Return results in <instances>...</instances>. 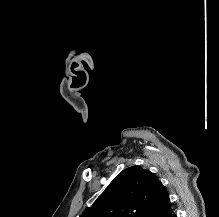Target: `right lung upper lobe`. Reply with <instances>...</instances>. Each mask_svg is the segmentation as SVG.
Masks as SVG:
<instances>
[{
	"label": "right lung upper lobe",
	"mask_w": 219,
	"mask_h": 217,
	"mask_svg": "<svg viewBox=\"0 0 219 217\" xmlns=\"http://www.w3.org/2000/svg\"><path fill=\"white\" fill-rule=\"evenodd\" d=\"M171 202L158 177L140 166L121 171L80 217H165Z\"/></svg>",
	"instance_id": "obj_1"
}]
</instances>
